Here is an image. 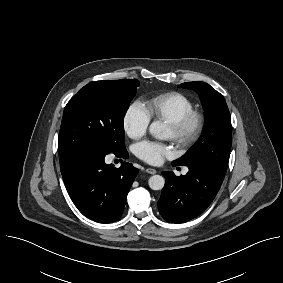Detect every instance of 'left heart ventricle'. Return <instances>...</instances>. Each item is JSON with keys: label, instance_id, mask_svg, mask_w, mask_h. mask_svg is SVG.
<instances>
[{"label": "left heart ventricle", "instance_id": "obj_1", "mask_svg": "<svg viewBox=\"0 0 283 283\" xmlns=\"http://www.w3.org/2000/svg\"><path fill=\"white\" fill-rule=\"evenodd\" d=\"M171 135H172L171 129L168 127V128H167V136H168V137H171Z\"/></svg>", "mask_w": 283, "mask_h": 283}]
</instances>
